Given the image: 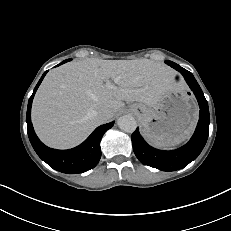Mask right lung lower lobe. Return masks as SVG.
Returning <instances> with one entry per match:
<instances>
[{
	"label": "right lung lower lobe",
	"mask_w": 231,
	"mask_h": 231,
	"mask_svg": "<svg viewBox=\"0 0 231 231\" xmlns=\"http://www.w3.org/2000/svg\"><path fill=\"white\" fill-rule=\"evenodd\" d=\"M67 61L69 60H65L61 64ZM47 72L48 71L42 75L28 101L26 122L30 142L38 156L53 169L67 174L86 172L94 168L99 162L101 157L100 142L102 136L113 126L114 122L97 127L82 144L75 148L69 150H55L45 146L34 132L31 122V106L34 94Z\"/></svg>",
	"instance_id": "98d812e1"
}]
</instances>
